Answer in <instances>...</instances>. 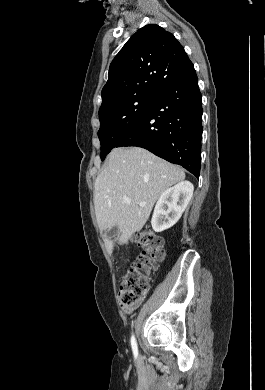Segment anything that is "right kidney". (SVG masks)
I'll return each mask as SVG.
<instances>
[{
  "mask_svg": "<svg viewBox=\"0 0 265 390\" xmlns=\"http://www.w3.org/2000/svg\"><path fill=\"white\" fill-rule=\"evenodd\" d=\"M193 191L191 182L182 181L161 194L151 219L155 232L169 229L178 222L191 200Z\"/></svg>",
  "mask_w": 265,
  "mask_h": 390,
  "instance_id": "ca27d5eb",
  "label": "right kidney"
}]
</instances>
